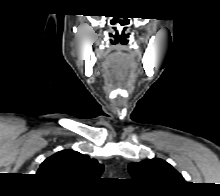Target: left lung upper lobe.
<instances>
[{"label": "left lung upper lobe", "instance_id": "5c2ea615", "mask_svg": "<svg viewBox=\"0 0 220 196\" xmlns=\"http://www.w3.org/2000/svg\"><path fill=\"white\" fill-rule=\"evenodd\" d=\"M128 169L135 181L146 186L170 189L185 184L182 175L159 158L131 163Z\"/></svg>", "mask_w": 220, "mask_h": 196}]
</instances>
